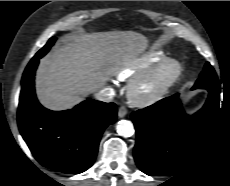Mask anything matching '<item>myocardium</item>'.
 I'll list each match as a JSON object with an SVG mask.
<instances>
[{
  "mask_svg": "<svg viewBox=\"0 0 230 186\" xmlns=\"http://www.w3.org/2000/svg\"><path fill=\"white\" fill-rule=\"evenodd\" d=\"M183 72L181 63L164 58L149 70L134 76L127 86L129 100L137 106H148L162 99ZM151 85L149 88H146Z\"/></svg>",
  "mask_w": 230,
  "mask_h": 186,
  "instance_id": "f54148a6",
  "label": "myocardium"
}]
</instances>
